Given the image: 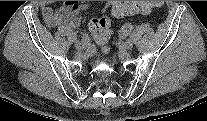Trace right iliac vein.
Instances as JSON below:
<instances>
[{
    "instance_id": "obj_1",
    "label": "right iliac vein",
    "mask_w": 207,
    "mask_h": 121,
    "mask_svg": "<svg viewBox=\"0 0 207 121\" xmlns=\"http://www.w3.org/2000/svg\"><path fill=\"white\" fill-rule=\"evenodd\" d=\"M75 48L80 50L82 48V44L79 41L75 42Z\"/></svg>"
}]
</instances>
